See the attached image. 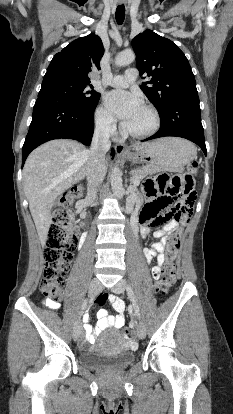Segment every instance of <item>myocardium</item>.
<instances>
[{
  "instance_id": "f54148a6",
  "label": "myocardium",
  "mask_w": 233,
  "mask_h": 414,
  "mask_svg": "<svg viewBox=\"0 0 233 414\" xmlns=\"http://www.w3.org/2000/svg\"><path fill=\"white\" fill-rule=\"evenodd\" d=\"M143 108L147 110L152 116H153V126L145 132L136 133L133 131H130L128 128H126L125 125L122 126V131L125 135L134 138V139H145L148 137H151L154 135L161 126V117L157 109L151 105H144Z\"/></svg>"
}]
</instances>
